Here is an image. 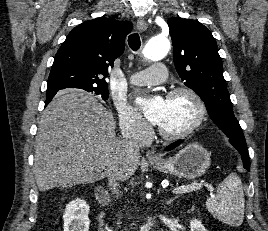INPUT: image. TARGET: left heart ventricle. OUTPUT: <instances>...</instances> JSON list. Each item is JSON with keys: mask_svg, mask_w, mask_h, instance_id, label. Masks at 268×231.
I'll use <instances>...</instances> for the list:
<instances>
[{"mask_svg": "<svg viewBox=\"0 0 268 231\" xmlns=\"http://www.w3.org/2000/svg\"><path fill=\"white\" fill-rule=\"evenodd\" d=\"M195 115V104L187 96L166 99L158 126L166 132H179L193 122Z\"/></svg>", "mask_w": 268, "mask_h": 231, "instance_id": "1", "label": "left heart ventricle"}]
</instances>
